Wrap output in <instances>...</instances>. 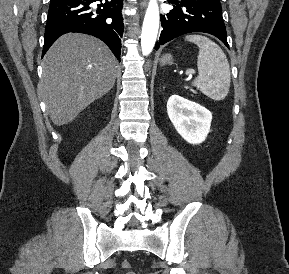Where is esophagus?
I'll return each instance as SVG.
<instances>
[{
    "mask_svg": "<svg viewBox=\"0 0 289 274\" xmlns=\"http://www.w3.org/2000/svg\"><path fill=\"white\" fill-rule=\"evenodd\" d=\"M146 4H147V0H143V1L141 2V6H143V7H145Z\"/></svg>",
    "mask_w": 289,
    "mask_h": 274,
    "instance_id": "1",
    "label": "esophagus"
}]
</instances>
